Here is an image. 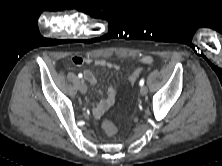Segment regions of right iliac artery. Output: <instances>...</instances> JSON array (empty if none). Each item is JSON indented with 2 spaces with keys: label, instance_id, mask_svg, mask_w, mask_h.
<instances>
[{
  "label": "right iliac artery",
  "instance_id": "1",
  "mask_svg": "<svg viewBox=\"0 0 222 166\" xmlns=\"http://www.w3.org/2000/svg\"><path fill=\"white\" fill-rule=\"evenodd\" d=\"M78 77H79V78H82V74L79 73V74H78ZM82 83H84V82L82 81Z\"/></svg>",
  "mask_w": 222,
  "mask_h": 166
}]
</instances>
